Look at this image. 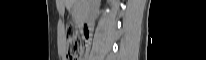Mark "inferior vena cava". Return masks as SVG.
Returning <instances> with one entry per match:
<instances>
[{"mask_svg": "<svg viewBox=\"0 0 206 60\" xmlns=\"http://www.w3.org/2000/svg\"><path fill=\"white\" fill-rule=\"evenodd\" d=\"M93 19H94V16H93V14L90 12V13H89V20H90V21H93Z\"/></svg>", "mask_w": 206, "mask_h": 60, "instance_id": "1", "label": "inferior vena cava"}]
</instances>
